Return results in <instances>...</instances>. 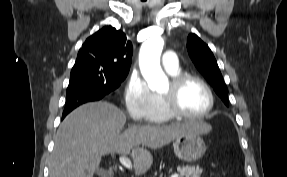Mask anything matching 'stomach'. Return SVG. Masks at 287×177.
I'll use <instances>...</instances> for the list:
<instances>
[{"label":"stomach","mask_w":287,"mask_h":177,"mask_svg":"<svg viewBox=\"0 0 287 177\" xmlns=\"http://www.w3.org/2000/svg\"><path fill=\"white\" fill-rule=\"evenodd\" d=\"M173 148L176 156L185 162L199 160L206 151V145L199 133H188L175 139Z\"/></svg>","instance_id":"0dacf381"}]
</instances>
